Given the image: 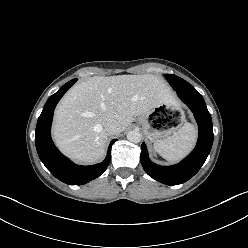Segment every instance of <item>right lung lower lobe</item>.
Listing matches in <instances>:
<instances>
[{
    "label": "right lung lower lobe",
    "mask_w": 248,
    "mask_h": 248,
    "mask_svg": "<svg viewBox=\"0 0 248 248\" xmlns=\"http://www.w3.org/2000/svg\"><path fill=\"white\" fill-rule=\"evenodd\" d=\"M76 81L77 79H73L67 82L49 97L38 118L35 136L36 149L40 160L57 179L69 185H83L99 177L110 163V150L116 141L113 140L110 143L106 159L102 163L92 166L74 164L55 147L50 134L54 109L61 97Z\"/></svg>",
    "instance_id": "obj_1"
}]
</instances>
